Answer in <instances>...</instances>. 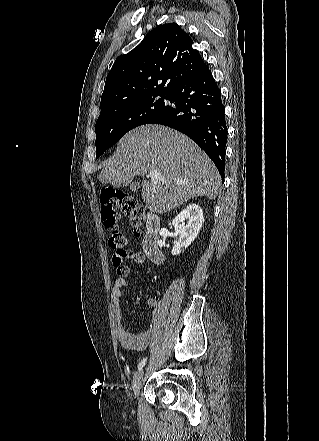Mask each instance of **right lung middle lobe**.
<instances>
[{
  "mask_svg": "<svg viewBox=\"0 0 319 441\" xmlns=\"http://www.w3.org/2000/svg\"><path fill=\"white\" fill-rule=\"evenodd\" d=\"M157 96L119 103L101 111L95 125L96 158L114 145L126 132L149 123L163 111L166 107L164 99H168V96H161V99L155 101Z\"/></svg>",
  "mask_w": 319,
  "mask_h": 441,
  "instance_id": "dd1d6c3e",
  "label": "right lung middle lobe"
}]
</instances>
